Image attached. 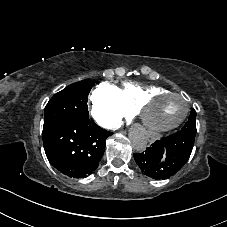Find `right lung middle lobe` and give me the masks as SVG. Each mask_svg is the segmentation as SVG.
Instances as JSON below:
<instances>
[{"label":"right lung middle lobe","instance_id":"dd1d6c3e","mask_svg":"<svg viewBox=\"0 0 227 227\" xmlns=\"http://www.w3.org/2000/svg\"><path fill=\"white\" fill-rule=\"evenodd\" d=\"M94 83L82 80L56 93L45 107L43 132L69 120L89 118L88 94Z\"/></svg>","mask_w":227,"mask_h":227}]
</instances>
